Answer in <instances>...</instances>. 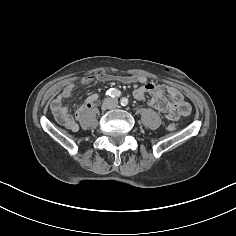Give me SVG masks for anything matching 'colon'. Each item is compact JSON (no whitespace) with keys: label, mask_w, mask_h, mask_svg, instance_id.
<instances>
[{"label":"colon","mask_w":236,"mask_h":236,"mask_svg":"<svg viewBox=\"0 0 236 236\" xmlns=\"http://www.w3.org/2000/svg\"><path fill=\"white\" fill-rule=\"evenodd\" d=\"M169 128H170L171 130H174V129H175V125L171 124V125L169 126Z\"/></svg>","instance_id":"colon-1"}]
</instances>
